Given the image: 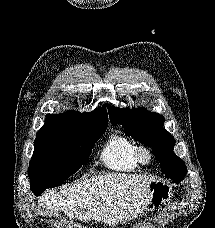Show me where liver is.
<instances>
[{
  "mask_svg": "<svg viewBox=\"0 0 215 228\" xmlns=\"http://www.w3.org/2000/svg\"><path fill=\"white\" fill-rule=\"evenodd\" d=\"M150 176L107 174L49 190L38 198L41 208L61 210L67 218L100 222L107 226L126 224L142 216L150 204Z\"/></svg>",
  "mask_w": 215,
  "mask_h": 228,
  "instance_id": "1",
  "label": "liver"
}]
</instances>
